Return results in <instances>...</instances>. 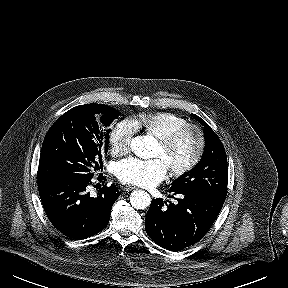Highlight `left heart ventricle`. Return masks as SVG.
Here are the masks:
<instances>
[{
    "label": "left heart ventricle",
    "mask_w": 288,
    "mask_h": 288,
    "mask_svg": "<svg viewBox=\"0 0 288 288\" xmlns=\"http://www.w3.org/2000/svg\"><path fill=\"white\" fill-rule=\"evenodd\" d=\"M196 145V135L189 132L181 136L168 151L159 143L156 155L162 157L168 167L181 165L192 157Z\"/></svg>",
    "instance_id": "obj_1"
}]
</instances>
